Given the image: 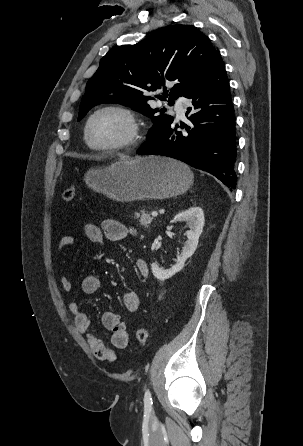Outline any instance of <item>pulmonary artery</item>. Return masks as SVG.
<instances>
[{
  "instance_id": "pulmonary-artery-1",
  "label": "pulmonary artery",
  "mask_w": 303,
  "mask_h": 446,
  "mask_svg": "<svg viewBox=\"0 0 303 446\" xmlns=\"http://www.w3.org/2000/svg\"><path fill=\"white\" fill-rule=\"evenodd\" d=\"M174 109L178 116L184 117L185 114V99L180 97L175 101Z\"/></svg>"
}]
</instances>
